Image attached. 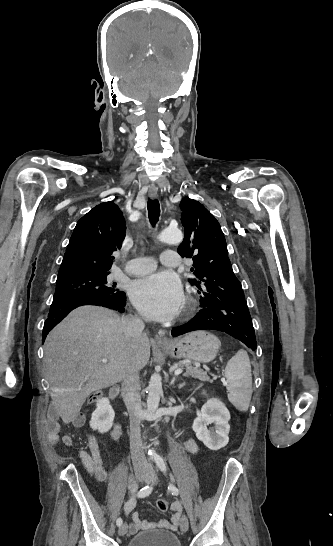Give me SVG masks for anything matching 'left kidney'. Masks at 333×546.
<instances>
[{"instance_id": "left-kidney-1", "label": "left kidney", "mask_w": 333, "mask_h": 546, "mask_svg": "<svg viewBox=\"0 0 333 546\" xmlns=\"http://www.w3.org/2000/svg\"><path fill=\"white\" fill-rule=\"evenodd\" d=\"M230 413L225 404L217 398L208 399L193 422L197 438L211 450H219L229 442ZM214 423V432L207 425Z\"/></svg>"}]
</instances>
